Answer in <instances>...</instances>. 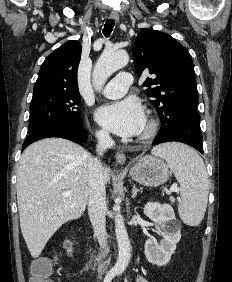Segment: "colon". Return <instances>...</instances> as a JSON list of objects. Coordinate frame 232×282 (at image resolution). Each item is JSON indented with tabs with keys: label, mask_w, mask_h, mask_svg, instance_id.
I'll return each instance as SVG.
<instances>
[{
	"label": "colon",
	"mask_w": 232,
	"mask_h": 282,
	"mask_svg": "<svg viewBox=\"0 0 232 282\" xmlns=\"http://www.w3.org/2000/svg\"><path fill=\"white\" fill-rule=\"evenodd\" d=\"M52 274L53 266L51 260L39 258L31 265L29 282H54Z\"/></svg>",
	"instance_id": "colon-1"
}]
</instances>
